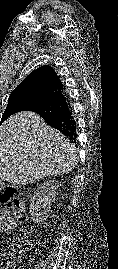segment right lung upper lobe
Wrapping results in <instances>:
<instances>
[{
	"mask_svg": "<svg viewBox=\"0 0 118 269\" xmlns=\"http://www.w3.org/2000/svg\"><path fill=\"white\" fill-rule=\"evenodd\" d=\"M64 89L57 73L49 65L32 71L11 93L20 96L24 110Z\"/></svg>",
	"mask_w": 118,
	"mask_h": 269,
	"instance_id": "1",
	"label": "right lung upper lobe"
}]
</instances>
